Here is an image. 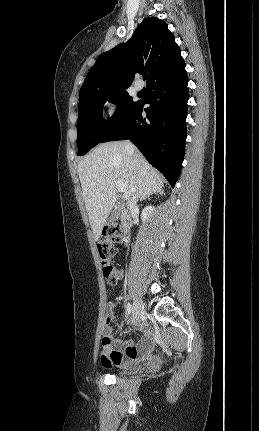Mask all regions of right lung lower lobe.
<instances>
[{
	"label": "right lung lower lobe",
	"mask_w": 259,
	"mask_h": 431,
	"mask_svg": "<svg viewBox=\"0 0 259 431\" xmlns=\"http://www.w3.org/2000/svg\"><path fill=\"white\" fill-rule=\"evenodd\" d=\"M185 63L147 85L149 107L137 102L103 142L132 141L174 187L184 159L189 91ZM142 111L147 114L142 117Z\"/></svg>",
	"instance_id": "obj_1"
}]
</instances>
